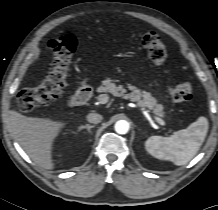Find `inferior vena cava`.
Here are the masks:
<instances>
[{"label":"inferior vena cava","instance_id":"602c4592","mask_svg":"<svg viewBox=\"0 0 218 210\" xmlns=\"http://www.w3.org/2000/svg\"><path fill=\"white\" fill-rule=\"evenodd\" d=\"M103 120V117L95 112H91L87 115V121L92 124H98Z\"/></svg>","mask_w":218,"mask_h":210}]
</instances>
